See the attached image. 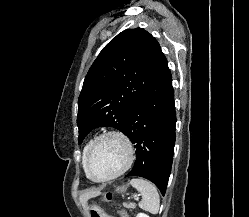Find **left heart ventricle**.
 <instances>
[{"label": "left heart ventricle", "instance_id": "b2bd125f", "mask_svg": "<svg viewBox=\"0 0 249 217\" xmlns=\"http://www.w3.org/2000/svg\"><path fill=\"white\" fill-rule=\"evenodd\" d=\"M127 158V149L117 137H107L95 146L89 160L90 171L97 178L108 177L120 170Z\"/></svg>", "mask_w": 249, "mask_h": 217}]
</instances>
